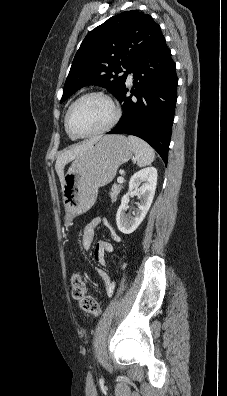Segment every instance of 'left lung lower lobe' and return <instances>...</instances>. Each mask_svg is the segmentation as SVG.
Returning <instances> with one entry per match:
<instances>
[{
    "label": "left lung lower lobe",
    "instance_id": "1",
    "mask_svg": "<svg viewBox=\"0 0 227 396\" xmlns=\"http://www.w3.org/2000/svg\"><path fill=\"white\" fill-rule=\"evenodd\" d=\"M134 89L127 96L124 87L117 99L122 103L123 115L107 134H130L149 143L168 161L169 143L177 101L176 65L162 36L134 63Z\"/></svg>",
    "mask_w": 227,
    "mask_h": 396
}]
</instances>
